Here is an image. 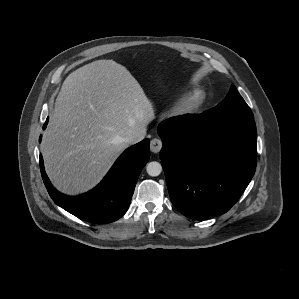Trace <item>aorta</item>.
<instances>
[{
  "mask_svg": "<svg viewBox=\"0 0 299 299\" xmlns=\"http://www.w3.org/2000/svg\"><path fill=\"white\" fill-rule=\"evenodd\" d=\"M146 170L150 176L155 177L160 175L162 171V166L159 162L152 161L147 164Z\"/></svg>",
  "mask_w": 299,
  "mask_h": 299,
  "instance_id": "aorta-1",
  "label": "aorta"
}]
</instances>
